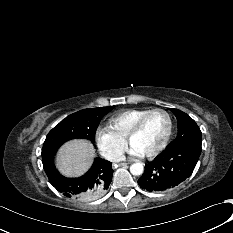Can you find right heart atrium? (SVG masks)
<instances>
[{
	"instance_id": "d8ad5b80",
	"label": "right heart atrium",
	"mask_w": 233,
	"mask_h": 233,
	"mask_svg": "<svg viewBox=\"0 0 233 233\" xmlns=\"http://www.w3.org/2000/svg\"><path fill=\"white\" fill-rule=\"evenodd\" d=\"M95 142L101 155L112 162L120 160L126 147L125 141L106 129L97 131Z\"/></svg>"
}]
</instances>
